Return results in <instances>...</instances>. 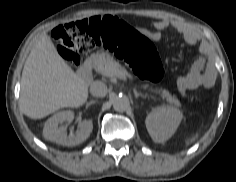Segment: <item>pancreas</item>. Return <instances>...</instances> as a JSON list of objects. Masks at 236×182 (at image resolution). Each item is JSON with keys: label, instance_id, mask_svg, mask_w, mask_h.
Instances as JSON below:
<instances>
[{"label": "pancreas", "instance_id": "1", "mask_svg": "<svg viewBox=\"0 0 236 182\" xmlns=\"http://www.w3.org/2000/svg\"><path fill=\"white\" fill-rule=\"evenodd\" d=\"M90 59L93 68L105 76H115V72H120L123 75L128 76L125 68L116 62L108 53H95L91 55ZM155 92L160 93L161 97L166 99L169 104L176 107L180 106L178 99L168 90L156 89Z\"/></svg>", "mask_w": 236, "mask_h": 182}]
</instances>
